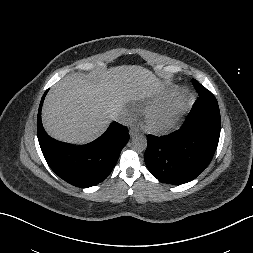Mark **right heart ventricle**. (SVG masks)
<instances>
[{
	"mask_svg": "<svg viewBox=\"0 0 253 253\" xmlns=\"http://www.w3.org/2000/svg\"><path fill=\"white\" fill-rule=\"evenodd\" d=\"M170 95H171L170 93L167 94V95H165L163 99H164V100L168 99V98L170 97Z\"/></svg>",
	"mask_w": 253,
	"mask_h": 253,
	"instance_id": "obj_1",
	"label": "right heart ventricle"
}]
</instances>
